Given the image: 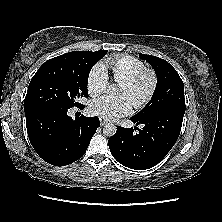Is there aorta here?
I'll return each mask as SVG.
<instances>
[{"label":"aorta","instance_id":"1","mask_svg":"<svg viewBox=\"0 0 222 222\" xmlns=\"http://www.w3.org/2000/svg\"><path fill=\"white\" fill-rule=\"evenodd\" d=\"M114 90L115 88L113 86H108V91L112 92ZM116 131H117V128L113 123H106L103 127V133L104 135L108 137L114 136Z\"/></svg>","mask_w":222,"mask_h":222}]
</instances>
